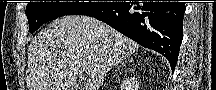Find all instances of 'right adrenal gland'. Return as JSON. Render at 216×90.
<instances>
[{"label": "right adrenal gland", "instance_id": "2a0ac1e0", "mask_svg": "<svg viewBox=\"0 0 216 90\" xmlns=\"http://www.w3.org/2000/svg\"><path fill=\"white\" fill-rule=\"evenodd\" d=\"M117 68H121V66H117Z\"/></svg>", "mask_w": 216, "mask_h": 90}]
</instances>
